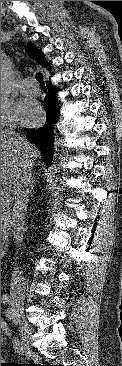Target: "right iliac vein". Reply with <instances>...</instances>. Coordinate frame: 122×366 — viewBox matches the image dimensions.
<instances>
[{"label": "right iliac vein", "instance_id": "1", "mask_svg": "<svg viewBox=\"0 0 122 366\" xmlns=\"http://www.w3.org/2000/svg\"><path fill=\"white\" fill-rule=\"evenodd\" d=\"M13 316H14L16 323L19 324L22 336L24 337V340L26 341L31 334V329H30L28 322L25 320L23 313L20 312L19 310H16L14 312Z\"/></svg>", "mask_w": 122, "mask_h": 366}]
</instances>
